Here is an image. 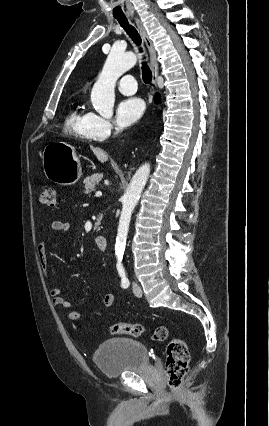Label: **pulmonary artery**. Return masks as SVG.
<instances>
[{
    "label": "pulmonary artery",
    "instance_id": "1",
    "mask_svg": "<svg viewBox=\"0 0 269 426\" xmlns=\"http://www.w3.org/2000/svg\"><path fill=\"white\" fill-rule=\"evenodd\" d=\"M117 88L125 95H132L137 91L136 80L132 75H124L118 80Z\"/></svg>",
    "mask_w": 269,
    "mask_h": 426
}]
</instances>
